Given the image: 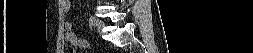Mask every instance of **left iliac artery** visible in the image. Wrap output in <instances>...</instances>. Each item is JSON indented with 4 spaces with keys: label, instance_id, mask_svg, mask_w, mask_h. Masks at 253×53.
<instances>
[{
    "label": "left iliac artery",
    "instance_id": "obj_1",
    "mask_svg": "<svg viewBox=\"0 0 253 53\" xmlns=\"http://www.w3.org/2000/svg\"><path fill=\"white\" fill-rule=\"evenodd\" d=\"M96 18L94 17V16H91L90 17V23H91V25H93V26H95L96 25Z\"/></svg>",
    "mask_w": 253,
    "mask_h": 53
}]
</instances>
